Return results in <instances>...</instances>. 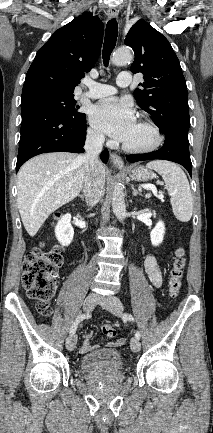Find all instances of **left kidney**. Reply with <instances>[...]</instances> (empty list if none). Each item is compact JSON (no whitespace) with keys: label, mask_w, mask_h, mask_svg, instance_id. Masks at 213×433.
Wrapping results in <instances>:
<instances>
[{"label":"left kidney","mask_w":213,"mask_h":433,"mask_svg":"<svg viewBox=\"0 0 213 433\" xmlns=\"http://www.w3.org/2000/svg\"><path fill=\"white\" fill-rule=\"evenodd\" d=\"M165 234V226L162 221H159L155 228L150 233L151 243L153 246H158L162 243Z\"/></svg>","instance_id":"5707ae66"}]
</instances>
